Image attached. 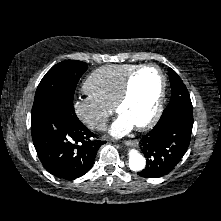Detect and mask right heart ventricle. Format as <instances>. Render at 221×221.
<instances>
[{"mask_svg": "<svg viewBox=\"0 0 221 221\" xmlns=\"http://www.w3.org/2000/svg\"><path fill=\"white\" fill-rule=\"evenodd\" d=\"M138 64H114L100 67L85 80L84 92L106 106H114L127 76Z\"/></svg>", "mask_w": 221, "mask_h": 221, "instance_id": "obj_1", "label": "right heart ventricle"}]
</instances>
